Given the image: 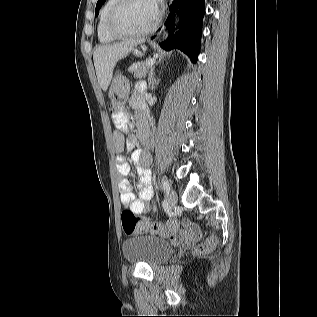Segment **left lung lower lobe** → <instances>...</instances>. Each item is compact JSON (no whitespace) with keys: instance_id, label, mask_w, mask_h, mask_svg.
I'll use <instances>...</instances> for the list:
<instances>
[{"instance_id":"1","label":"left lung lower lobe","mask_w":317,"mask_h":317,"mask_svg":"<svg viewBox=\"0 0 317 317\" xmlns=\"http://www.w3.org/2000/svg\"><path fill=\"white\" fill-rule=\"evenodd\" d=\"M182 12L180 29L173 35V22L177 6L175 2L169 6L170 14L165 25L170 30L167 40L160 44L161 47L170 50L178 48L196 62L200 48L202 19L205 11L204 0H180ZM153 36L151 39H154Z\"/></svg>"}]
</instances>
